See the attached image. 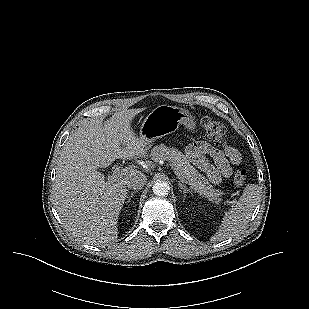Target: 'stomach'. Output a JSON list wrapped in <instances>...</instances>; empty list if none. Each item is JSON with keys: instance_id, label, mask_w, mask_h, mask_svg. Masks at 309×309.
Returning <instances> with one entry per match:
<instances>
[{"instance_id": "1", "label": "stomach", "mask_w": 309, "mask_h": 309, "mask_svg": "<svg viewBox=\"0 0 309 309\" xmlns=\"http://www.w3.org/2000/svg\"><path fill=\"white\" fill-rule=\"evenodd\" d=\"M180 125H184L188 130H194L196 123L187 110L176 106L160 105L144 119L139 137L150 146L155 140L175 132Z\"/></svg>"}]
</instances>
